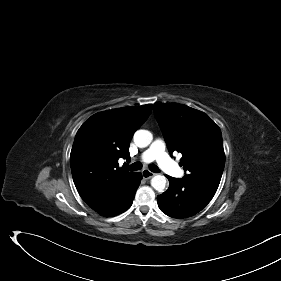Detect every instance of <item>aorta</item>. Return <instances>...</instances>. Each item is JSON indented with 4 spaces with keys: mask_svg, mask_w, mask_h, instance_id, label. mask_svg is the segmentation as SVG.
<instances>
[{
    "mask_svg": "<svg viewBox=\"0 0 281 281\" xmlns=\"http://www.w3.org/2000/svg\"><path fill=\"white\" fill-rule=\"evenodd\" d=\"M153 140V135L148 130H137L134 134V142L140 147H147ZM166 178L162 175H156L151 179V186L158 192H163L166 187Z\"/></svg>",
    "mask_w": 281,
    "mask_h": 281,
    "instance_id": "obj_1",
    "label": "aorta"
}]
</instances>
